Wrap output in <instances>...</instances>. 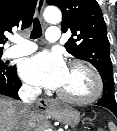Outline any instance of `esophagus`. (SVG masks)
I'll list each match as a JSON object with an SVG mask.
<instances>
[{
  "mask_svg": "<svg viewBox=\"0 0 117 131\" xmlns=\"http://www.w3.org/2000/svg\"><path fill=\"white\" fill-rule=\"evenodd\" d=\"M44 5H45V0H38L37 7H36V15L40 19L42 17V11H43ZM36 106L39 109V111H41L43 113H47V112H50L54 109L55 104H54L53 100L45 98V99H39L37 101Z\"/></svg>",
  "mask_w": 117,
  "mask_h": 131,
  "instance_id": "34e87169",
  "label": "esophagus"
}]
</instances>
